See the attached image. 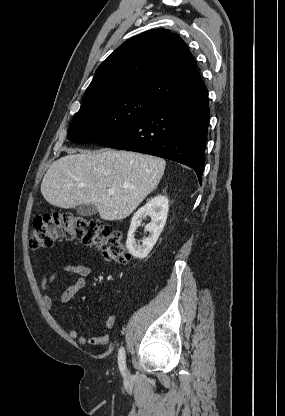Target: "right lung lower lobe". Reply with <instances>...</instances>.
Masks as SVG:
<instances>
[{
  "label": "right lung lower lobe",
  "mask_w": 285,
  "mask_h": 416,
  "mask_svg": "<svg viewBox=\"0 0 285 416\" xmlns=\"http://www.w3.org/2000/svg\"><path fill=\"white\" fill-rule=\"evenodd\" d=\"M209 120L205 88L159 106L129 127L96 143L185 164L195 170L201 183Z\"/></svg>",
  "instance_id": "obj_1"
}]
</instances>
